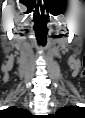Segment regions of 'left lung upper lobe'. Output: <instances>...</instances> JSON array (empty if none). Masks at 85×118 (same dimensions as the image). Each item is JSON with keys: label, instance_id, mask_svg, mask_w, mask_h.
Masks as SVG:
<instances>
[{"label": "left lung upper lobe", "instance_id": "1", "mask_svg": "<svg viewBox=\"0 0 85 118\" xmlns=\"http://www.w3.org/2000/svg\"><path fill=\"white\" fill-rule=\"evenodd\" d=\"M73 107L68 106V107H63L61 108L58 113H67L69 110H71Z\"/></svg>", "mask_w": 85, "mask_h": 118}]
</instances>
